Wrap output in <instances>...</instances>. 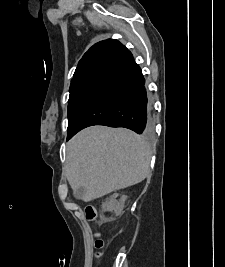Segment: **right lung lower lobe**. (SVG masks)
I'll use <instances>...</instances> for the list:
<instances>
[{
  "label": "right lung lower lobe",
  "instance_id": "right-lung-lower-lobe-1",
  "mask_svg": "<svg viewBox=\"0 0 225 267\" xmlns=\"http://www.w3.org/2000/svg\"><path fill=\"white\" fill-rule=\"evenodd\" d=\"M145 79L130 51L119 55L84 99L69 140L92 125L124 127L149 135Z\"/></svg>",
  "mask_w": 225,
  "mask_h": 267
}]
</instances>
